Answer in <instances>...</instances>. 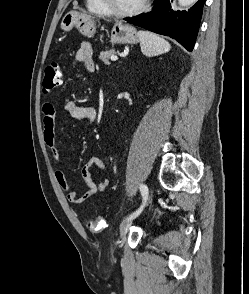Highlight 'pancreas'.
Masks as SVG:
<instances>
[{
    "label": "pancreas",
    "mask_w": 249,
    "mask_h": 294,
    "mask_svg": "<svg viewBox=\"0 0 249 294\" xmlns=\"http://www.w3.org/2000/svg\"><path fill=\"white\" fill-rule=\"evenodd\" d=\"M116 54L115 49H111L109 51H102L100 53L99 58L105 63V65H109V58Z\"/></svg>",
    "instance_id": "obj_1"
}]
</instances>
